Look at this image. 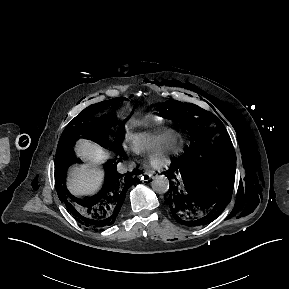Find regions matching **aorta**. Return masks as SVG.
I'll list each match as a JSON object with an SVG mask.
<instances>
[{"label":"aorta","instance_id":"762f6f07","mask_svg":"<svg viewBox=\"0 0 289 289\" xmlns=\"http://www.w3.org/2000/svg\"><path fill=\"white\" fill-rule=\"evenodd\" d=\"M152 189L159 194H164L169 189L168 178L164 175L156 176L151 182Z\"/></svg>","mask_w":289,"mask_h":289}]
</instances>
